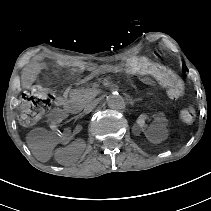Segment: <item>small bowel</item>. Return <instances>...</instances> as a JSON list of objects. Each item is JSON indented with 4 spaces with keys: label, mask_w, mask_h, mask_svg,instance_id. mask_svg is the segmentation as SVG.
<instances>
[{
    "label": "small bowel",
    "mask_w": 211,
    "mask_h": 211,
    "mask_svg": "<svg viewBox=\"0 0 211 211\" xmlns=\"http://www.w3.org/2000/svg\"><path fill=\"white\" fill-rule=\"evenodd\" d=\"M44 67L43 63V58L42 57H37L35 61L29 65L23 75L24 81L27 85H29L35 75L37 74L38 71H40ZM89 75L86 76L83 81H87L90 78L101 74V73H106V72H111V73H118L123 71L124 69L122 67H117V66H111V65H105V66H90L89 68ZM146 82H149V80H145ZM68 95V90H65L61 95L54 96V103L57 106H62L66 102ZM165 124V118L162 114H156L153 119L152 125L154 127H162Z\"/></svg>",
    "instance_id": "obj_1"
}]
</instances>
